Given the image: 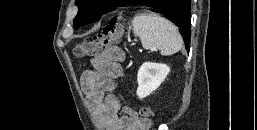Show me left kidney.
<instances>
[{"mask_svg": "<svg viewBox=\"0 0 257 130\" xmlns=\"http://www.w3.org/2000/svg\"><path fill=\"white\" fill-rule=\"evenodd\" d=\"M170 72V67L166 64L145 62L138 70L137 95L139 99L145 98L156 90L165 80Z\"/></svg>", "mask_w": 257, "mask_h": 130, "instance_id": "left-kidney-1", "label": "left kidney"}]
</instances>
